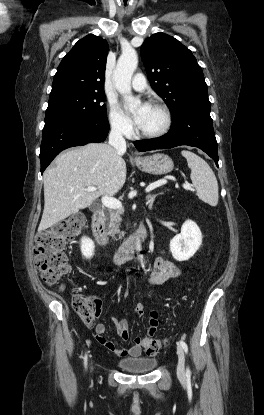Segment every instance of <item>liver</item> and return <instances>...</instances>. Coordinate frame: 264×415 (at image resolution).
Listing matches in <instances>:
<instances>
[{"mask_svg":"<svg viewBox=\"0 0 264 415\" xmlns=\"http://www.w3.org/2000/svg\"><path fill=\"white\" fill-rule=\"evenodd\" d=\"M107 143H90L61 153L44 175L41 232L89 207L99 196L111 197L124 185L126 163ZM87 187L96 191L88 192Z\"/></svg>","mask_w":264,"mask_h":415,"instance_id":"liver-1","label":"liver"}]
</instances>
